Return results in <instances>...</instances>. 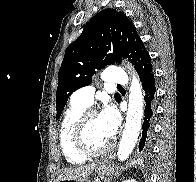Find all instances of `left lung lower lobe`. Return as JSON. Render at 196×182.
Returning a JSON list of instances; mask_svg holds the SVG:
<instances>
[{"label":"left lung lower lobe","mask_w":196,"mask_h":182,"mask_svg":"<svg viewBox=\"0 0 196 182\" xmlns=\"http://www.w3.org/2000/svg\"><path fill=\"white\" fill-rule=\"evenodd\" d=\"M137 73L142 82L144 96V121L142 125V138L139 142V151L142 155H147L150 148V141L153 135L156 97H155V77L150 55H146L140 62Z\"/></svg>","instance_id":"obj_1"}]
</instances>
